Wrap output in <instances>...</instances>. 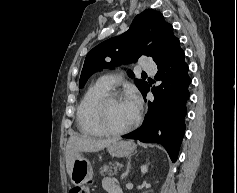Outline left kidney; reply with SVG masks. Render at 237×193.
<instances>
[{
    "label": "left kidney",
    "mask_w": 237,
    "mask_h": 193,
    "mask_svg": "<svg viewBox=\"0 0 237 193\" xmlns=\"http://www.w3.org/2000/svg\"><path fill=\"white\" fill-rule=\"evenodd\" d=\"M148 170V167L146 165L141 166V172L145 174Z\"/></svg>",
    "instance_id": "1"
}]
</instances>
